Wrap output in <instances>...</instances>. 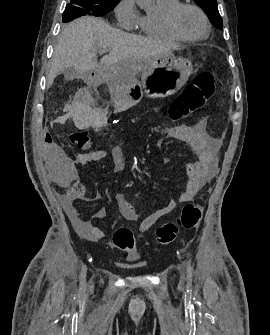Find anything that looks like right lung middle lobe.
<instances>
[{
	"mask_svg": "<svg viewBox=\"0 0 270 335\" xmlns=\"http://www.w3.org/2000/svg\"><path fill=\"white\" fill-rule=\"evenodd\" d=\"M120 0H70L62 15L64 23L70 22L81 16L101 17L119 3Z\"/></svg>",
	"mask_w": 270,
	"mask_h": 335,
	"instance_id": "1",
	"label": "right lung middle lobe"
}]
</instances>
